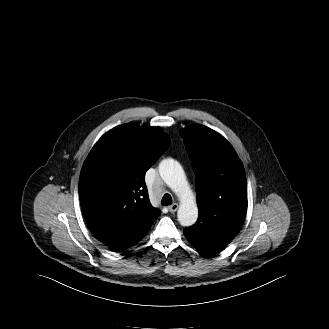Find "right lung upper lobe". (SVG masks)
<instances>
[{
	"instance_id": "cb5924a9",
	"label": "right lung upper lobe",
	"mask_w": 329,
	"mask_h": 329,
	"mask_svg": "<svg viewBox=\"0 0 329 329\" xmlns=\"http://www.w3.org/2000/svg\"><path fill=\"white\" fill-rule=\"evenodd\" d=\"M169 145L157 127L122 124L90 151L80 174V203L89 228L107 246L141 238L160 215L144 176Z\"/></svg>"
}]
</instances>
